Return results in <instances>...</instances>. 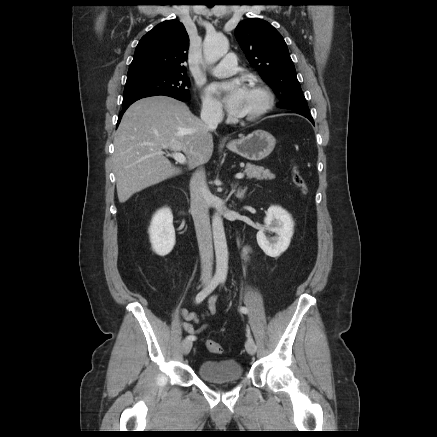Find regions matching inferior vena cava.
Masks as SVG:
<instances>
[{"label": "inferior vena cava", "mask_w": 437, "mask_h": 437, "mask_svg": "<svg viewBox=\"0 0 437 437\" xmlns=\"http://www.w3.org/2000/svg\"><path fill=\"white\" fill-rule=\"evenodd\" d=\"M222 119V110L207 107L201 111V120L208 129L215 130ZM191 204L196 236L201 259V280L205 283L212 278L213 245L208 206L211 193L206 183L204 168L196 170L190 180Z\"/></svg>", "instance_id": "obj_1"}]
</instances>
